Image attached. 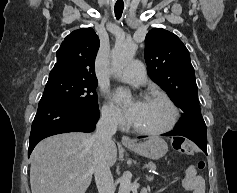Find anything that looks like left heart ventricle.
Segmentation results:
<instances>
[{
    "mask_svg": "<svg viewBox=\"0 0 237 193\" xmlns=\"http://www.w3.org/2000/svg\"><path fill=\"white\" fill-rule=\"evenodd\" d=\"M171 117L169 107L161 100H144L137 111L133 124L144 129L165 127Z\"/></svg>",
    "mask_w": 237,
    "mask_h": 193,
    "instance_id": "1",
    "label": "left heart ventricle"
}]
</instances>
